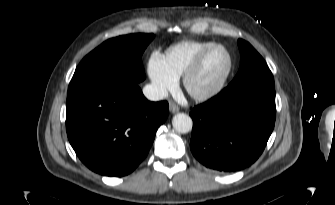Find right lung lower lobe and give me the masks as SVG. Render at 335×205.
Wrapping results in <instances>:
<instances>
[{
  "mask_svg": "<svg viewBox=\"0 0 335 205\" xmlns=\"http://www.w3.org/2000/svg\"><path fill=\"white\" fill-rule=\"evenodd\" d=\"M168 111L166 101H148L137 84L93 83L68 92L67 136L89 169L125 176L148 154Z\"/></svg>",
  "mask_w": 335,
  "mask_h": 205,
  "instance_id": "obj_1",
  "label": "right lung lower lobe"
}]
</instances>
